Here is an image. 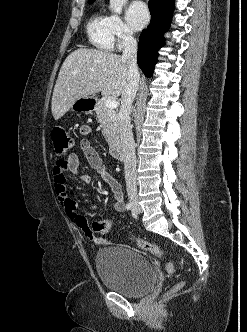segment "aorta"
Masks as SVG:
<instances>
[{
    "label": "aorta",
    "instance_id": "1",
    "mask_svg": "<svg viewBox=\"0 0 247 332\" xmlns=\"http://www.w3.org/2000/svg\"><path fill=\"white\" fill-rule=\"evenodd\" d=\"M126 2L127 0H110V9L117 14H121Z\"/></svg>",
    "mask_w": 247,
    "mask_h": 332
}]
</instances>
